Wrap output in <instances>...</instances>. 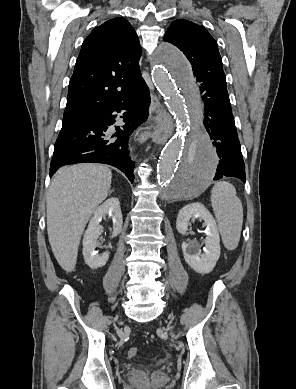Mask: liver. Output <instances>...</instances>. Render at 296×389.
Segmentation results:
<instances>
[{
	"mask_svg": "<svg viewBox=\"0 0 296 389\" xmlns=\"http://www.w3.org/2000/svg\"><path fill=\"white\" fill-rule=\"evenodd\" d=\"M112 172L104 165L62 167L47 195V232L52 252L66 271L74 270L78 247L91 215L108 196Z\"/></svg>",
	"mask_w": 296,
	"mask_h": 389,
	"instance_id": "1",
	"label": "liver"
}]
</instances>
